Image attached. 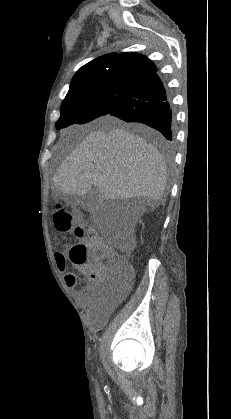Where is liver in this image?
Returning a JSON list of instances; mask_svg holds the SVG:
<instances>
[{"label": "liver", "instance_id": "6515ba94", "mask_svg": "<svg viewBox=\"0 0 231 419\" xmlns=\"http://www.w3.org/2000/svg\"><path fill=\"white\" fill-rule=\"evenodd\" d=\"M102 122L113 128L91 131L67 156L54 176L56 189L84 196L94 185L101 199L147 197L161 201L167 171L160 152L116 119L105 117Z\"/></svg>", "mask_w": 231, "mask_h": 419}]
</instances>
